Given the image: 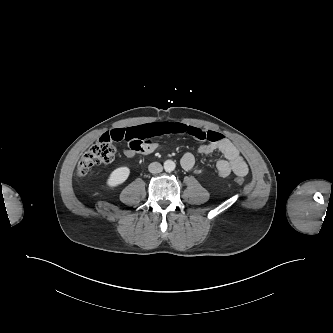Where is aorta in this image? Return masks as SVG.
Returning <instances> with one entry per match:
<instances>
[{
	"label": "aorta",
	"instance_id": "aorta-1",
	"mask_svg": "<svg viewBox=\"0 0 333 333\" xmlns=\"http://www.w3.org/2000/svg\"><path fill=\"white\" fill-rule=\"evenodd\" d=\"M176 165H175V162L172 161V160H166L164 162V169L165 171L167 172H171L175 169Z\"/></svg>",
	"mask_w": 333,
	"mask_h": 333
}]
</instances>
